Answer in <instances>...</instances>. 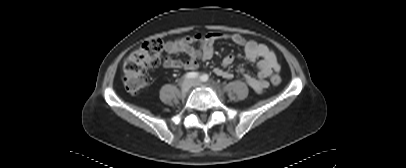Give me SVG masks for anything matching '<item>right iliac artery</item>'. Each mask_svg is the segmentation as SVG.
<instances>
[{
    "label": "right iliac artery",
    "instance_id": "82829eb1",
    "mask_svg": "<svg viewBox=\"0 0 406 168\" xmlns=\"http://www.w3.org/2000/svg\"><path fill=\"white\" fill-rule=\"evenodd\" d=\"M198 76H199V73H197V72H189V73L185 74V78H188V79L197 78Z\"/></svg>",
    "mask_w": 406,
    "mask_h": 168
}]
</instances>
